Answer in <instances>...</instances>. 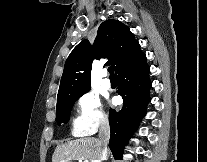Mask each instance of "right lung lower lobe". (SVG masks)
<instances>
[{
    "label": "right lung lower lobe",
    "instance_id": "98d812e1",
    "mask_svg": "<svg viewBox=\"0 0 207 162\" xmlns=\"http://www.w3.org/2000/svg\"><path fill=\"white\" fill-rule=\"evenodd\" d=\"M149 72L150 68L146 64V56L143 54L116 73L117 93L122 96L124 101L120 111L110 109L109 113L111 129L109 146L116 160L122 159L124 145L146 114V105L150 101Z\"/></svg>",
    "mask_w": 207,
    "mask_h": 162
}]
</instances>
